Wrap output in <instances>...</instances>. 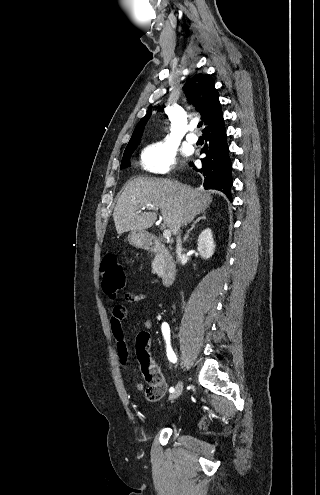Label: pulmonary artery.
<instances>
[{
    "label": "pulmonary artery",
    "mask_w": 320,
    "mask_h": 495,
    "mask_svg": "<svg viewBox=\"0 0 320 495\" xmlns=\"http://www.w3.org/2000/svg\"><path fill=\"white\" fill-rule=\"evenodd\" d=\"M191 130H193V126L190 127ZM186 139L190 143H196L198 141V136L194 134L193 132L187 134Z\"/></svg>",
    "instance_id": "e3ab8cb5"
}]
</instances>
